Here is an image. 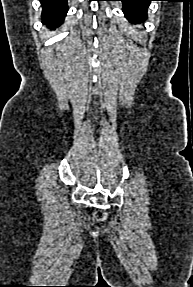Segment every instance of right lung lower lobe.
<instances>
[{
    "mask_svg": "<svg viewBox=\"0 0 193 287\" xmlns=\"http://www.w3.org/2000/svg\"><path fill=\"white\" fill-rule=\"evenodd\" d=\"M43 6L42 20L49 28L58 27L64 20L68 5L67 0H40Z\"/></svg>",
    "mask_w": 193,
    "mask_h": 287,
    "instance_id": "1",
    "label": "right lung lower lobe"
}]
</instances>
